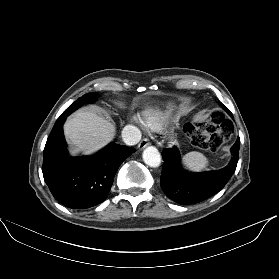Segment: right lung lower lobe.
<instances>
[{
    "instance_id": "98d812e1",
    "label": "right lung lower lobe",
    "mask_w": 279,
    "mask_h": 279,
    "mask_svg": "<svg viewBox=\"0 0 279 279\" xmlns=\"http://www.w3.org/2000/svg\"><path fill=\"white\" fill-rule=\"evenodd\" d=\"M67 116L62 113L47 139L43 176L58 202L69 208L85 209L107 198L117 169L135 149L110 143L95 155L70 157L63 134Z\"/></svg>"
}]
</instances>
